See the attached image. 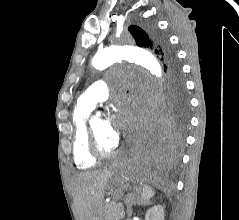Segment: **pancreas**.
Here are the masks:
<instances>
[{
  "mask_svg": "<svg viewBox=\"0 0 239 220\" xmlns=\"http://www.w3.org/2000/svg\"><path fill=\"white\" fill-rule=\"evenodd\" d=\"M104 220H122L125 217L124 208L115 202H110L104 206Z\"/></svg>",
  "mask_w": 239,
  "mask_h": 220,
  "instance_id": "pancreas-1",
  "label": "pancreas"
}]
</instances>
